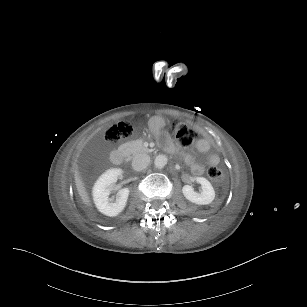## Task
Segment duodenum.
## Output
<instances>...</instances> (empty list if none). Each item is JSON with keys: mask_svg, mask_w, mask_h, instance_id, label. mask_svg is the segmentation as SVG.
<instances>
[{"mask_svg": "<svg viewBox=\"0 0 307 307\" xmlns=\"http://www.w3.org/2000/svg\"><path fill=\"white\" fill-rule=\"evenodd\" d=\"M127 154L124 149L114 150L111 155L112 162L115 165H122L125 161Z\"/></svg>", "mask_w": 307, "mask_h": 307, "instance_id": "obj_1", "label": "duodenum"}]
</instances>
